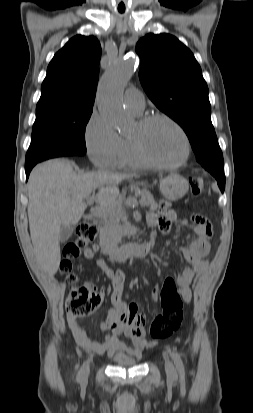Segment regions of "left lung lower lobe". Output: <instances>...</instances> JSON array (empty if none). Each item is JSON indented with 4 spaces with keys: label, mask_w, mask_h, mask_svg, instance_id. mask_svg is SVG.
Wrapping results in <instances>:
<instances>
[{
    "label": "left lung lower lobe",
    "mask_w": 253,
    "mask_h": 413,
    "mask_svg": "<svg viewBox=\"0 0 253 413\" xmlns=\"http://www.w3.org/2000/svg\"><path fill=\"white\" fill-rule=\"evenodd\" d=\"M217 180V183L223 192L225 189V175L224 169H214V168H206Z\"/></svg>",
    "instance_id": "obj_1"
}]
</instances>
